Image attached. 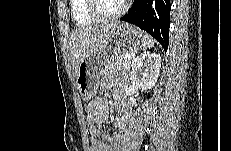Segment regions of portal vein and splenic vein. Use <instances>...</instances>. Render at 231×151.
Here are the masks:
<instances>
[{"instance_id":"portal-vein-and-splenic-vein-1","label":"portal vein and splenic vein","mask_w":231,"mask_h":151,"mask_svg":"<svg viewBox=\"0 0 231 151\" xmlns=\"http://www.w3.org/2000/svg\"><path fill=\"white\" fill-rule=\"evenodd\" d=\"M125 58L130 60L131 59V56L130 55H125Z\"/></svg>"}]
</instances>
